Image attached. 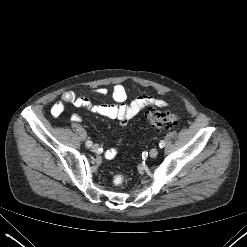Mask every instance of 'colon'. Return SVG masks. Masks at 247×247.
Instances as JSON below:
<instances>
[{
    "label": "colon",
    "mask_w": 247,
    "mask_h": 247,
    "mask_svg": "<svg viewBox=\"0 0 247 247\" xmlns=\"http://www.w3.org/2000/svg\"><path fill=\"white\" fill-rule=\"evenodd\" d=\"M147 120L150 126L158 131L170 129L178 125L180 117L170 112L158 111L150 108L147 111ZM124 175L117 174L114 176V184L120 185L124 182Z\"/></svg>",
    "instance_id": "1"
}]
</instances>
